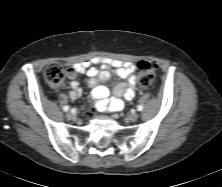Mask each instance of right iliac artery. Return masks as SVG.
<instances>
[{
	"mask_svg": "<svg viewBox=\"0 0 222 187\" xmlns=\"http://www.w3.org/2000/svg\"><path fill=\"white\" fill-rule=\"evenodd\" d=\"M69 108H70V107L66 105V106L63 107V110H64V111H68Z\"/></svg>",
	"mask_w": 222,
	"mask_h": 187,
	"instance_id": "82829eb1",
	"label": "right iliac artery"
}]
</instances>
